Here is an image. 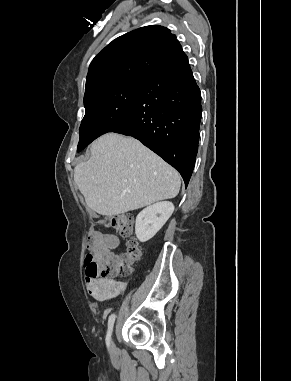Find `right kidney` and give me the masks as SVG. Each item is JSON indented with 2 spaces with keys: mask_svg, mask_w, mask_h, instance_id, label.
Segmentation results:
<instances>
[{
  "mask_svg": "<svg viewBox=\"0 0 291 381\" xmlns=\"http://www.w3.org/2000/svg\"><path fill=\"white\" fill-rule=\"evenodd\" d=\"M174 211L168 201L157 202L146 207L136 217L135 234L140 242L150 240L167 222Z\"/></svg>",
  "mask_w": 291,
  "mask_h": 381,
  "instance_id": "obj_1",
  "label": "right kidney"
}]
</instances>
